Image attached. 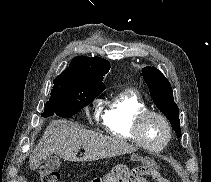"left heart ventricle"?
I'll list each match as a JSON object with an SVG mask.
<instances>
[{
  "label": "left heart ventricle",
  "instance_id": "obj_1",
  "mask_svg": "<svg viewBox=\"0 0 211 182\" xmlns=\"http://www.w3.org/2000/svg\"><path fill=\"white\" fill-rule=\"evenodd\" d=\"M142 136L148 145L158 146L166 139L167 129L160 118L149 116L143 122Z\"/></svg>",
  "mask_w": 211,
  "mask_h": 182
}]
</instances>
